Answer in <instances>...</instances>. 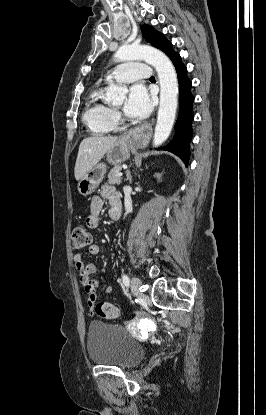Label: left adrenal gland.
Instances as JSON below:
<instances>
[{
    "mask_svg": "<svg viewBox=\"0 0 266 415\" xmlns=\"http://www.w3.org/2000/svg\"><path fill=\"white\" fill-rule=\"evenodd\" d=\"M126 180H128V181H129V183H132V176H131V174H130V171H129V170H127V171H126Z\"/></svg>",
    "mask_w": 266,
    "mask_h": 415,
    "instance_id": "1",
    "label": "left adrenal gland"
}]
</instances>
